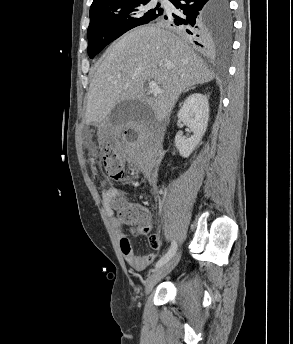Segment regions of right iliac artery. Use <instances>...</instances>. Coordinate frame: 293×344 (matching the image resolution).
<instances>
[{
  "mask_svg": "<svg viewBox=\"0 0 293 344\" xmlns=\"http://www.w3.org/2000/svg\"><path fill=\"white\" fill-rule=\"evenodd\" d=\"M176 250H177V243L175 241H172L169 251L157 261L155 268H159L162 265H164L167 261H169L176 253Z\"/></svg>",
  "mask_w": 293,
  "mask_h": 344,
  "instance_id": "82829eb1",
  "label": "right iliac artery"
}]
</instances>
